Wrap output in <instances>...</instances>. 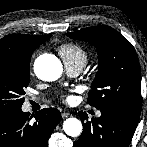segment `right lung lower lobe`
<instances>
[{"instance_id": "obj_1", "label": "right lung lower lobe", "mask_w": 147, "mask_h": 147, "mask_svg": "<svg viewBox=\"0 0 147 147\" xmlns=\"http://www.w3.org/2000/svg\"><path fill=\"white\" fill-rule=\"evenodd\" d=\"M60 120L55 108L43 109L35 116L21 109L0 113V147H47Z\"/></svg>"}]
</instances>
